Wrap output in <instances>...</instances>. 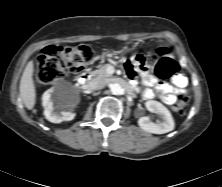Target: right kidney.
Listing matches in <instances>:
<instances>
[{
  "instance_id": "right-kidney-1",
  "label": "right kidney",
  "mask_w": 222,
  "mask_h": 187,
  "mask_svg": "<svg viewBox=\"0 0 222 187\" xmlns=\"http://www.w3.org/2000/svg\"><path fill=\"white\" fill-rule=\"evenodd\" d=\"M54 101L58 102L59 108L65 107L64 100L58 96L55 89L47 90L42 96V105L44 107V115L46 119L52 123H61L62 121H70L74 119L75 113L71 111H55Z\"/></svg>"
}]
</instances>
